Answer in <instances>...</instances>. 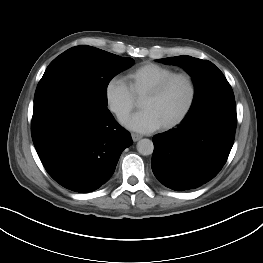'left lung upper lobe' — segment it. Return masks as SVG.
Instances as JSON below:
<instances>
[{
    "label": "left lung upper lobe",
    "mask_w": 263,
    "mask_h": 263,
    "mask_svg": "<svg viewBox=\"0 0 263 263\" xmlns=\"http://www.w3.org/2000/svg\"><path fill=\"white\" fill-rule=\"evenodd\" d=\"M165 64L184 68L194 80L195 95L188 112L194 113L215 100L235 99L232 88L223 73L210 61L191 56H177L159 59Z\"/></svg>",
    "instance_id": "obj_1"
}]
</instances>
